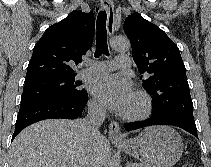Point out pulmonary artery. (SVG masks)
<instances>
[{
  "instance_id": "e3ab8cb5",
  "label": "pulmonary artery",
  "mask_w": 211,
  "mask_h": 167,
  "mask_svg": "<svg viewBox=\"0 0 211 167\" xmlns=\"http://www.w3.org/2000/svg\"><path fill=\"white\" fill-rule=\"evenodd\" d=\"M87 67L82 69L79 76H91L98 74H105L114 69L129 70L132 66L131 59L129 56L122 54L119 55L115 60L100 61L93 64H86Z\"/></svg>"
}]
</instances>
